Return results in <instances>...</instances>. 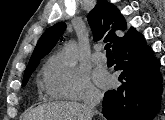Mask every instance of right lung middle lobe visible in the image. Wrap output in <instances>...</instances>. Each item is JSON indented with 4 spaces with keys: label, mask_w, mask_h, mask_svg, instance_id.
<instances>
[{
    "label": "right lung middle lobe",
    "mask_w": 165,
    "mask_h": 120,
    "mask_svg": "<svg viewBox=\"0 0 165 120\" xmlns=\"http://www.w3.org/2000/svg\"><path fill=\"white\" fill-rule=\"evenodd\" d=\"M38 64H39V61L33 63L32 65H30V66L25 70L22 86H25V85L27 84L28 79H29L31 73L35 70V68L38 66Z\"/></svg>",
    "instance_id": "obj_1"
}]
</instances>
